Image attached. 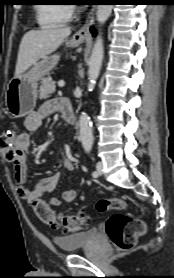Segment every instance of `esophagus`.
Instances as JSON below:
<instances>
[{
    "label": "esophagus",
    "mask_w": 174,
    "mask_h": 278,
    "mask_svg": "<svg viewBox=\"0 0 174 278\" xmlns=\"http://www.w3.org/2000/svg\"><path fill=\"white\" fill-rule=\"evenodd\" d=\"M95 12H96V7L93 6L87 15L85 23L77 31L76 36L85 37L89 33L90 26L92 25L95 19Z\"/></svg>",
    "instance_id": "esophagus-1"
}]
</instances>
